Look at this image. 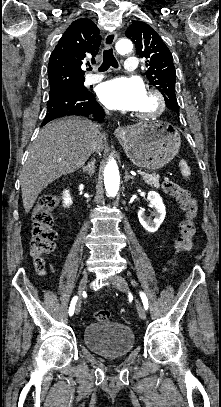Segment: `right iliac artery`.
Instances as JSON below:
<instances>
[{
  "mask_svg": "<svg viewBox=\"0 0 221 407\" xmlns=\"http://www.w3.org/2000/svg\"><path fill=\"white\" fill-rule=\"evenodd\" d=\"M77 299H78V297L75 296V297H73V299L71 300V304H70V307H69V315H70V316H72L73 313H74L75 304H76V302H77Z\"/></svg>",
  "mask_w": 221,
  "mask_h": 407,
  "instance_id": "right-iliac-artery-1",
  "label": "right iliac artery"
}]
</instances>
